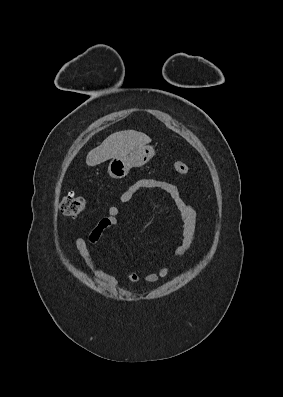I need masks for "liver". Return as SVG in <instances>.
<instances>
[{
    "label": "liver",
    "instance_id": "obj_1",
    "mask_svg": "<svg viewBox=\"0 0 283 397\" xmlns=\"http://www.w3.org/2000/svg\"><path fill=\"white\" fill-rule=\"evenodd\" d=\"M150 142L151 139L141 132L134 130L115 132L88 153L86 164L96 166L112 158L128 156Z\"/></svg>",
    "mask_w": 283,
    "mask_h": 397
}]
</instances>
